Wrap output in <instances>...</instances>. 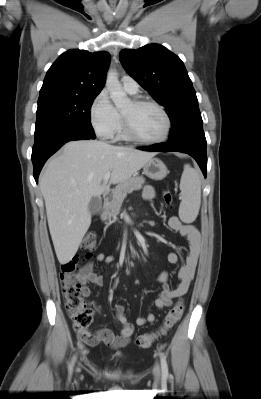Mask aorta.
I'll return each instance as SVG.
<instances>
[{"label": "aorta", "mask_w": 261, "mask_h": 399, "mask_svg": "<svg viewBox=\"0 0 261 399\" xmlns=\"http://www.w3.org/2000/svg\"><path fill=\"white\" fill-rule=\"evenodd\" d=\"M106 88L116 108L118 109L124 108L130 103V99L127 97V94L123 91L122 86L118 79V74L115 70L110 69L107 72Z\"/></svg>", "instance_id": "aorta-1"}]
</instances>
